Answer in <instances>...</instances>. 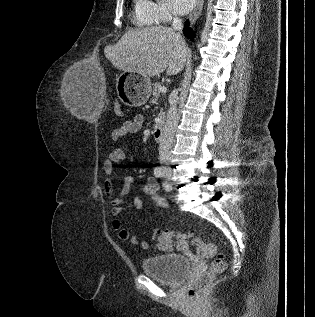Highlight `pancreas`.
Listing matches in <instances>:
<instances>
[{
  "instance_id": "1",
  "label": "pancreas",
  "mask_w": 315,
  "mask_h": 317,
  "mask_svg": "<svg viewBox=\"0 0 315 317\" xmlns=\"http://www.w3.org/2000/svg\"><path fill=\"white\" fill-rule=\"evenodd\" d=\"M160 88H162V86L160 84H154L153 86V90H152V98L150 100L151 103H155L158 99V97L160 96Z\"/></svg>"
}]
</instances>
